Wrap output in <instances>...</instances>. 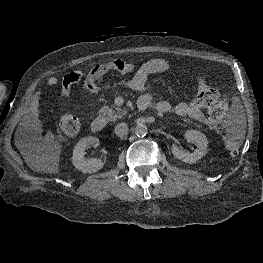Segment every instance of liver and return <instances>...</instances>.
Masks as SVG:
<instances>
[{
	"label": "liver",
	"mask_w": 263,
	"mask_h": 263,
	"mask_svg": "<svg viewBox=\"0 0 263 263\" xmlns=\"http://www.w3.org/2000/svg\"><path fill=\"white\" fill-rule=\"evenodd\" d=\"M27 162H29V159L26 157Z\"/></svg>",
	"instance_id": "6515ba94"
}]
</instances>
